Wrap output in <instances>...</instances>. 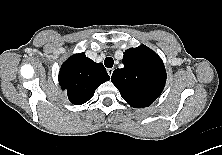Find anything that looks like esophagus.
I'll use <instances>...</instances> for the list:
<instances>
[{
  "label": "esophagus",
  "instance_id": "esophagus-1",
  "mask_svg": "<svg viewBox=\"0 0 222 155\" xmlns=\"http://www.w3.org/2000/svg\"><path fill=\"white\" fill-rule=\"evenodd\" d=\"M114 69L113 68H108L107 73L109 76H112Z\"/></svg>",
  "mask_w": 222,
  "mask_h": 155
}]
</instances>
